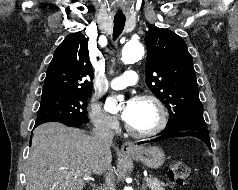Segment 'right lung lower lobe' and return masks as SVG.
Returning a JSON list of instances; mask_svg holds the SVG:
<instances>
[{
    "label": "right lung lower lobe",
    "instance_id": "98d812e1",
    "mask_svg": "<svg viewBox=\"0 0 238 190\" xmlns=\"http://www.w3.org/2000/svg\"><path fill=\"white\" fill-rule=\"evenodd\" d=\"M65 125L67 126H71V127H79V126H82L84 125L85 123H81V122H69V123H64ZM38 126V125H35V127ZM34 127V128H35Z\"/></svg>",
    "mask_w": 238,
    "mask_h": 190
}]
</instances>
